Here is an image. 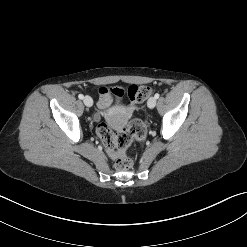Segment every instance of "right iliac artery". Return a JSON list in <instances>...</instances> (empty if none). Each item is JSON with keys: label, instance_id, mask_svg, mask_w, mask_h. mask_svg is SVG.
<instances>
[{"label": "right iliac artery", "instance_id": "obj_1", "mask_svg": "<svg viewBox=\"0 0 247 247\" xmlns=\"http://www.w3.org/2000/svg\"><path fill=\"white\" fill-rule=\"evenodd\" d=\"M78 98H79V99H83V98H84L83 94H79V95H78Z\"/></svg>", "mask_w": 247, "mask_h": 247}]
</instances>
